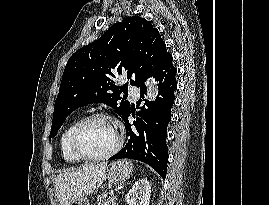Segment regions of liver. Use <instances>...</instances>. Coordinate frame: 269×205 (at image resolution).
Masks as SVG:
<instances>
[{
	"instance_id": "liver-1",
	"label": "liver",
	"mask_w": 269,
	"mask_h": 205,
	"mask_svg": "<svg viewBox=\"0 0 269 205\" xmlns=\"http://www.w3.org/2000/svg\"><path fill=\"white\" fill-rule=\"evenodd\" d=\"M107 164H90L59 174L55 179V190L60 205H70L74 200L95 192L105 180Z\"/></svg>"
}]
</instances>
